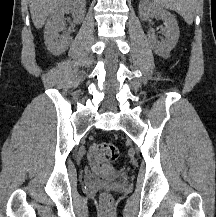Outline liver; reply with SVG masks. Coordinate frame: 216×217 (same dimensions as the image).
<instances>
[{
    "mask_svg": "<svg viewBox=\"0 0 216 217\" xmlns=\"http://www.w3.org/2000/svg\"><path fill=\"white\" fill-rule=\"evenodd\" d=\"M66 0H29V8L34 26L39 29L47 17Z\"/></svg>",
    "mask_w": 216,
    "mask_h": 217,
    "instance_id": "1",
    "label": "liver"
}]
</instances>
